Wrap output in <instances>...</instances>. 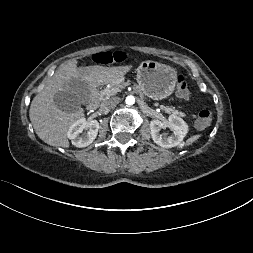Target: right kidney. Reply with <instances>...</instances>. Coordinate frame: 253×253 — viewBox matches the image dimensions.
I'll return each mask as SVG.
<instances>
[{
	"label": "right kidney",
	"mask_w": 253,
	"mask_h": 253,
	"mask_svg": "<svg viewBox=\"0 0 253 253\" xmlns=\"http://www.w3.org/2000/svg\"><path fill=\"white\" fill-rule=\"evenodd\" d=\"M88 130L87 133L82 134L83 130ZM99 130V123L96 120L87 121L81 118L75 121L68 130L67 136L71 143L76 147H86L90 145L97 137Z\"/></svg>",
	"instance_id": "1"
}]
</instances>
